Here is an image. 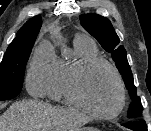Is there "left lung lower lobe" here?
<instances>
[{"label":"left lung lower lobe","instance_id":"left-lung-lower-lobe-1","mask_svg":"<svg viewBox=\"0 0 151 131\" xmlns=\"http://www.w3.org/2000/svg\"><path fill=\"white\" fill-rule=\"evenodd\" d=\"M122 125L134 131H147V125L144 121H135V122L125 123Z\"/></svg>","mask_w":151,"mask_h":131}]
</instances>
